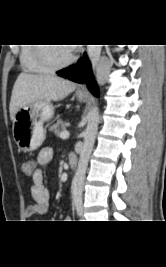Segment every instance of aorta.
Here are the masks:
<instances>
[{
	"mask_svg": "<svg viewBox=\"0 0 166 267\" xmlns=\"http://www.w3.org/2000/svg\"><path fill=\"white\" fill-rule=\"evenodd\" d=\"M101 49L102 45H88L87 47L88 57L91 61L94 71L99 65ZM98 123L99 111L98 107L94 106L88 113V124L84 132L83 149L80 154L78 167L73 180V199L75 202H80L82 200L85 174L88 166V161L95 143Z\"/></svg>",
	"mask_w": 166,
	"mask_h": 267,
	"instance_id": "1",
	"label": "aorta"
}]
</instances>
